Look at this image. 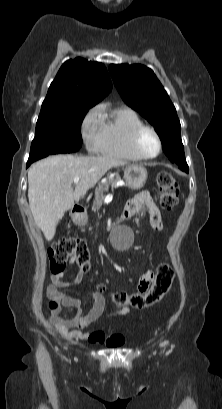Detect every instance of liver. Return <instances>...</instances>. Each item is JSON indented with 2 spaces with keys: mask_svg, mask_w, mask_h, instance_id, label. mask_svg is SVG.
<instances>
[{
  "mask_svg": "<svg viewBox=\"0 0 222 409\" xmlns=\"http://www.w3.org/2000/svg\"><path fill=\"white\" fill-rule=\"evenodd\" d=\"M125 161L109 156L55 155L33 164L28 171V199L36 225L51 241L64 213L113 168ZM79 177L73 190L74 178Z\"/></svg>",
  "mask_w": 222,
  "mask_h": 409,
  "instance_id": "liver-1",
  "label": "liver"
}]
</instances>
